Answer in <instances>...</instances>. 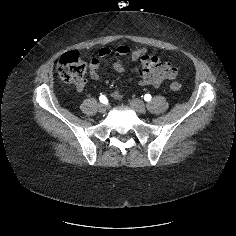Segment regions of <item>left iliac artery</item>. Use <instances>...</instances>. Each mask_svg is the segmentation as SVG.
<instances>
[{"instance_id":"left-iliac-artery-1","label":"left iliac artery","mask_w":236,"mask_h":236,"mask_svg":"<svg viewBox=\"0 0 236 236\" xmlns=\"http://www.w3.org/2000/svg\"><path fill=\"white\" fill-rule=\"evenodd\" d=\"M151 95L150 94H145V96H144V100L145 101H147V102H149L150 100H151Z\"/></svg>"}]
</instances>
